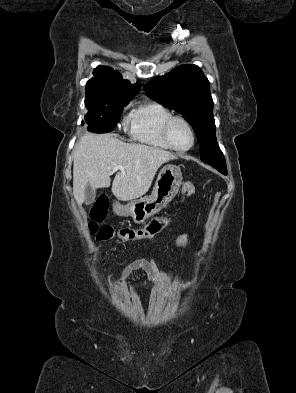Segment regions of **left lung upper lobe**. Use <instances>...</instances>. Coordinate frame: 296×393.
Instances as JSON below:
<instances>
[{"label": "left lung upper lobe", "instance_id": "obj_1", "mask_svg": "<svg viewBox=\"0 0 296 393\" xmlns=\"http://www.w3.org/2000/svg\"><path fill=\"white\" fill-rule=\"evenodd\" d=\"M144 90L163 106L180 112L192 125L200 145L201 160L227 170L216 139L210 84L196 65H181L152 79Z\"/></svg>", "mask_w": 296, "mask_h": 393}]
</instances>
